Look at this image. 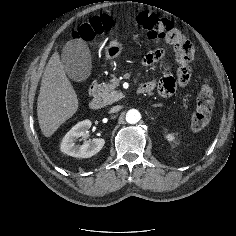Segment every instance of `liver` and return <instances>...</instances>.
I'll return each mask as SVG.
<instances>
[{
	"mask_svg": "<svg viewBox=\"0 0 236 236\" xmlns=\"http://www.w3.org/2000/svg\"><path fill=\"white\" fill-rule=\"evenodd\" d=\"M77 94L67 78L58 52L49 59L42 76L37 116L45 137L54 132L78 110Z\"/></svg>",
	"mask_w": 236,
	"mask_h": 236,
	"instance_id": "obj_1",
	"label": "liver"
}]
</instances>
